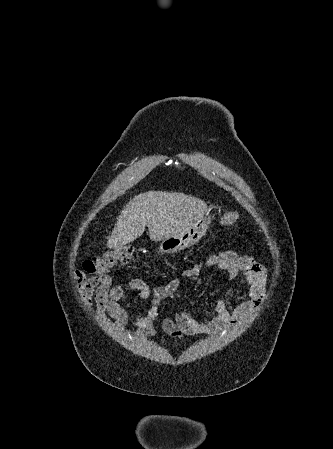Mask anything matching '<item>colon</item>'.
Instances as JSON below:
<instances>
[{
  "label": "colon",
  "mask_w": 333,
  "mask_h": 449,
  "mask_svg": "<svg viewBox=\"0 0 333 449\" xmlns=\"http://www.w3.org/2000/svg\"><path fill=\"white\" fill-rule=\"evenodd\" d=\"M240 218V214L236 211L225 213L219 223L221 226H228ZM135 257L134 249L130 246H120L112 250L95 255L88 259L84 264V270L88 273L104 274L117 266L118 264H127Z\"/></svg>",
  "instance_id": "colon-1"
}]
</instances>
